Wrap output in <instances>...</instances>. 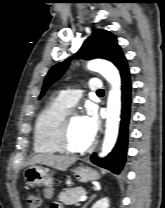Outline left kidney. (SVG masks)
<instances>
[{"label": "left kidney", "mask_w": 165, "mask_h": 208, "mask_svg": "<svg viewBox=\"0 0 165 208\" xmlns=\"http://www.w3.org/2000/svg\"><path fill=\"white\" fill-rule=\"evenodd\" d=\"M91 208H109L108 198H102L95 202Z\"/></svg>", "instance_id": "left-kidney-1"}]
</instances>
